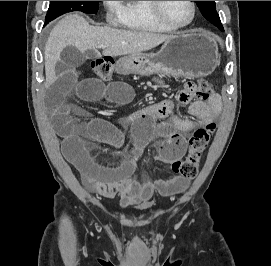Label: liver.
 I'll return each mask as SVG.
<instances>
[{
    "label": "liver",
    "instance_id": "liver-1",
    "mask_svg": "<svg viewBox=\"0 0 271 266\" xmlns=\"http://www.w3.org/2000/svg\"><path fill=\"white\" fill-rule=\"evenodd\" d=\"M172 37L154 32L95 27L82 16L69 14L55 25L45 45V87L49 88L58 79L54 62L60 60L61 52L67 46L86 53L105 45L103 55L115 57L151 50Z\"/></svg>",
    "mask_w": 271,
    "mask_h": 266
}]
</instances>
